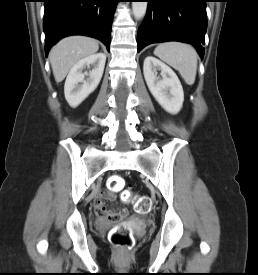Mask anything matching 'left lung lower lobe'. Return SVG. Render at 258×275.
Instances as JSON below:
<instances>
[{"label":"left lung lower lobe","mask_w":258,"mask_h":275,"mask_svg":"<svg viewBox=\"0 0 258 275\" xmlns=\"http://www.w3.org/2000/svg\"><path fill=\"white\" fill-rule=\"evenodd\" d=\"M146 17L137 34V51L152 43L192 44L201 58L207 28V0H147Z\"/></svg>","instance_id":"1"}]
</instances>
